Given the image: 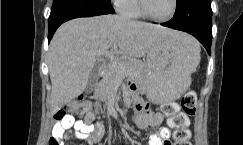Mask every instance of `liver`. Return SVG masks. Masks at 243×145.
Segmentation results:
<instances>
[{
    "mask_svg": "<svg viewBox=\"0 0 243 145\" xmlns=\"http://www.w3.org/2000/svg\"><path fill=\"white\" fill-rule=\"evenodd\" d=\"M164 36L188 40L189 35L119 15L77 18L62 24L50 43L51 112L79 96L96 64L97 51L109 46L116 54L134 58L147 54Z\"/></svg>",
    "mask_w": 243,
    "mask_h": 145,
    "instance_id": "6515ba94",
    "label": "liver"
}]
</instances>
